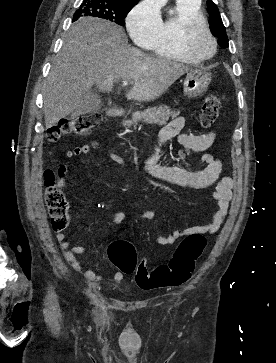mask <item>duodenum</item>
I'll return each instance as SVG.
<instances>
[{"instance_id":"duodenum-1","label":"duodenum","mask_w":276,"mask_h":363,"mask_svg":"<svg viewBox=\"0 0 276 363\" xmlns=\"http://www.w3.org/2000/svg\"><path fill=\"white\" fill-rule=\"evenodd\" d=\"M107 115L109 117H120L123 115V111L118 107H110L107 110Z\"/></svg>"}]
</instances>
